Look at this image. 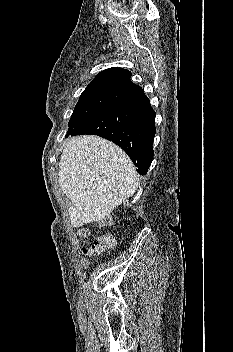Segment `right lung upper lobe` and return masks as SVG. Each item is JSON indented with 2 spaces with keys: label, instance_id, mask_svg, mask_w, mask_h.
Wrapping results in <instances>:
<instances>
[{
  "label": "right lung upper lobe",
  "instance_id": "cb5924a9",
  "mask_svg": "<svg viewBox=\"0 0 233 352\" xmlns=\"http://www.w3.org/2000/svg\"><path fill=\"white\" fill-rule=\"evenodd\" d=\"M131 72L122 68H109L101 71L96 75L94 80L87 87H97V86H120L128 87L137 90L138 92L143 91V89L134 84L130 80Z\"/></svg>",
  "mask_w": 233,
  "mask_h": 352
}]
</instances>
